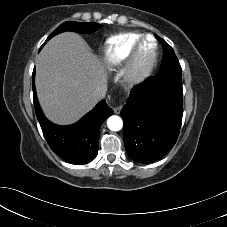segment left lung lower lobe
Wrapping results in <instances>:
<instances>
[{
  "label": "left lung lower lobe",
  "instance_id": "obj_1",
  "mask_svg": "<svg viewBox=\"0 0 227 227\" xmlns=\"http://www.w3.org/2000/svg\"><path fill=\"white\" fill-rule=\"evenodd\" d=\"M182 79L171 75L149 77L130 92L121 110L123 139L128 156L151 163L176 143L183 115Z\"/></svg>",
  "mask_w": 227,
  "mask_h": 227
}]
</instances>
